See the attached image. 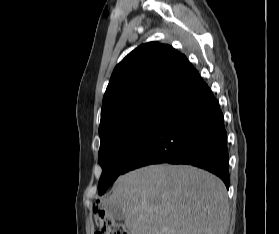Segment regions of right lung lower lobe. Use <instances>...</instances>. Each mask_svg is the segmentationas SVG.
<instances>
[{
    "label": "right lung lower lobe",
    "instance_id": "98d812e1",
    "mask_svg": "<svg viewBox=\"0 0 279 234\" xmlns=\"http://www.w3.org/2000/svg\"><path fill=\"white\" fill-rule=\"evenodd\" d=\"M189 164L219 176L229 188L227 133L220 106L200 77L166 110L123 168ZM122 173V174H123Z\"/></svg>",
    "mask_w": 279,
    "mask_h": 234
}]
</instances>
